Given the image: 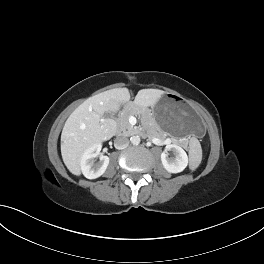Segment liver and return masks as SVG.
<instances>
[{
  "instance_id": "6515ba94",
  "label": "liver",
  "mask_w": 264,
  "mask_h": 264,
  "mask_svg": "<svg viewBox=\"0 0 264 264\" xmlns=\"http://www.w3.org/2000/svg\"><path fill=\"white\" fill-rule=\"evenodd\" d=\"M164 91L158 89L140 90L134 106H154ZM130 93L126 88H115L93 97L79 105L68 117L61 134V155L68 170L79 176L80 161L84 151L112 138L117 130L113 119H101L105 112H116L122 104H128Z\"/></svg>"
}]
</instances>
